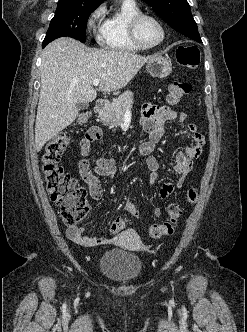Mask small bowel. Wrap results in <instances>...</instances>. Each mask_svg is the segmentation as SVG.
<instances>
[{"mask_svg":"<svg viewBox=\"0 0 247 332\" xmlns=\"http://www.w3.org/2000/svg\"><path fill=\"white\" fill-rule=\"evenodd\" d=\"M188 115L185 112H177L169 106H157L145 103L142 109L140 125L146 132L148 138L139 147V153L144 158L147 168L151 172L150 184L153 185L158 177L159 163L153 155L156 144L161 140L166 131V123L178 120L183 123ZM188 130L192 134L193 144L186 147L184 151H179L175 157L174 170L179 175L175 183H164L158 193L159 199L168 198L175 189L184 186L186 178L192 169L193 161L197 159L204 145V137L198 132L197 126L193 123L188 125ZM102 131L98 127L90 128L80 142L81 159L78 163L79 174L82 180L88 185L90 195L94 200L102 197V186L98 176L114 178L116 174V164L113 158H97L95 166L91 168L87 155L91 144L100 140ZM126 211L133 217H139L138 206L131 200L125 202ZM155 216L160 215V209L154 210ZM67 237L77 245L84 247H96L113 243V239L106 237H90L84 234V229L78 225H69L66 230Z\"/></svg>","mask_w":247,"mask_h":332,"instance_id":"1","label":"small bowel"}]
</instances>
